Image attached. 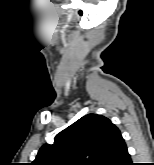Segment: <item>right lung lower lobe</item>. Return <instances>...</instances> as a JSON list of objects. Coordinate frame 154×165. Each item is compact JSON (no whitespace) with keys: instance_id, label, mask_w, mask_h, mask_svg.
I'll use <instances>...</instances> for the list:
<instances>
[{"instance_id":"right-lung-lower-lobe-1","label":"right lung lower lobe","mask_w":154,"mask_h":165,"mask_svg":"<svg viewBox=\"0 0 154 165\" xmlns=\"http://www.w3.org/2000/svg\"><path fill=\"white\" fill-rule=\"evenodd\" d=\"M111 150L112 152L102 165H133L122 136L115 141Z\"/></svg>"}]
</instances>
